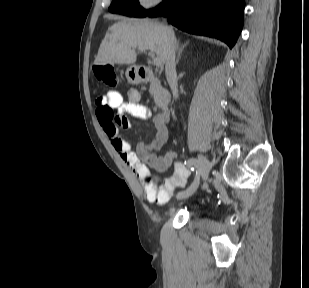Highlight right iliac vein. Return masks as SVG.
<instances>
[{
	"label": "right iliac vein",
	"mask_w": 309,
	"mask_h": 288,
	"mask_svg": "<svg viewBox=\"0 0 309 288\" xmlns=\"http://www.w3.org/2000/svg\"><path fill=\"white\" fill-rule=\"evenodd\" d=\"M197 161H200V165H201V168H200V171H199L200 176H199V180H198V184H199L200 180L203 181V182H205L207 180L208 174H209V171H210V163H209L208 159L201 154L197 155ZM198 184H197L195 190H193L192 193H190V194L188 193L187 197H185V198H188L189 196H191L196 191ZM179 198L185 199V198L181 197V195H179Z\"/></svg>",
	"instance_id": "1"
}]
</instances>
